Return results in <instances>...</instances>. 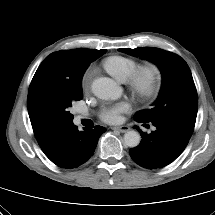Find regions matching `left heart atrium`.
Segmentation results:
<instances>
[{
  "label": "left heart atrium",
  "mask_w": 215,
  "mask_h": 215,
  "mask_svg": "<svg viewBox=\"0 0 215 215\" xmlns=\"http://www.w3.org/2000/svg\"><path fill=\"white\" fill-rule=\"evenodd\" d=\"M129 104L125 101L108 105L101 110L100 117L107 123H117L121 114L129 110Z\"/></svg>",
  "instance_id": "obj_1"
}]
</instances>
